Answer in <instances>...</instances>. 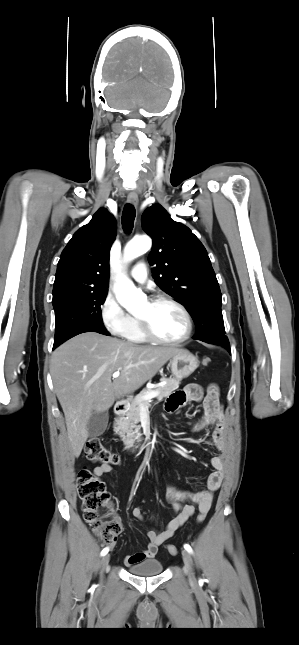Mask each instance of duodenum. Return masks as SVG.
Masks as SVG:
<instances>
[{
  "mask_svg": "<svg viewBox=\"0 0 299 645\" xmlns=\"http://www.w3.org/2000/svg\"><path fill=\"white\" fill-rule=\"evenodd\" d=\"M126 410V404L124 402H117L114 406V412L117 415H121Z\"/></svg>",
  "mask_w": 299,
  "mask_h": 645,
  "instance_id": "obj_1",
  "label": "duodenum"
}]
</instances>
